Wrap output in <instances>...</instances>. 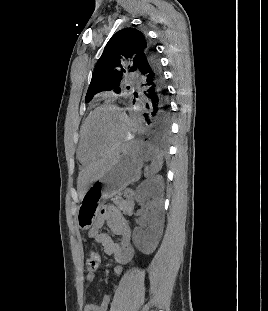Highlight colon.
Listing matches in <instances>:
<instances>
[{"label": "colon", "instance_id": "colon-1", "mask_svg": "<svg viewBox=\"0 0 268 311\" xmlns=\"http://www.w3.org/2000/svg\"><path fill=\"white\" fill-rule=\"evenodd\" d=\"M100 265V255L96 252H90L86 257V267L89 272H94Z\"/></svg>", "mask_w": 268, "mask_h": 311}]
</instances>
